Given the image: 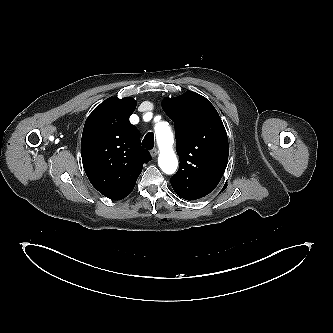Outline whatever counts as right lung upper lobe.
<instances>
[{
	"instance_id": "obj_1",
	"label": "right lung upper lobe",
	"mask_w": 333,
	"mask_h": 333,
	"mask_svg": "<svg viewBox=\"0 0 333 333\" xmlns=\"http://www.w3.org/2000/svg\"><path fill=\"white\" fill-rule=\"evenodd\" d=\"M136 104L130 97L108 98L84 125L81 155L85 173L91 184L112 200L132 192L143 164L151 160L140 146L139 131L129 122Z\"/></svg>"
}]
</instances>
